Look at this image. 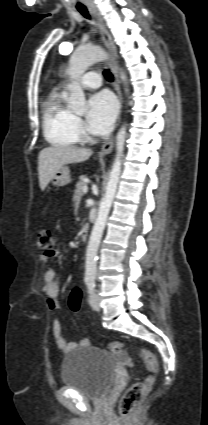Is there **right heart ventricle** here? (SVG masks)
I'll list each match as a JSON object with an SVG mask.
<instances>
[{"label": "right heart ventricle", "mask_w": 208, "mask_h": 425, "mask_svg": "<svg viewBox=\"0 0 208 425\" xmlns=\"http://www.w3.org/2000/svg\"><path fill=\"white\" fill-rule=\"evenodd\" d=\"M74 115L64 104L63 93H49L42 105V127L45 139L53 146L72 147L78 144Z\"/></svg>", "instance_id": "e07e8e85"}]
</instances>
